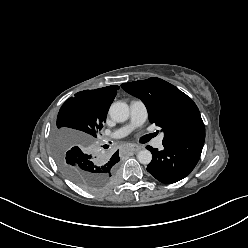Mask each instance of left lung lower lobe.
Listing matches in <instances>:
<instances>
[{
  "instance_id": "0a47b994",
  "label": "left lung lower lobe",
  "mask_w": 248,
  "mask_h": 248,
  "mask_svg": "<svg viewBox=\"0 0 248 248\" xmlns=\"http://www.w3.org/2000/svg\"><path fill=\"white\" fill-rule=\"evenodd\" d=\"M205 133L198 132L163 143L164 150L147 146L153 158L147 171L162 183H175L185 178L199 161Z\"/></svg>"
}]
</instances>
